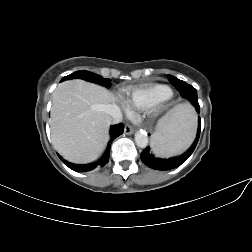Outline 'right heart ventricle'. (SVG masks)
Listing matches in <instances>:
<instances>
[{"label": "right heart ventricle", "instance_id": "obj_1", "mask_svg": "<svg viewBox=\"0 0 252 252\" xmlns=\"http://www.w3.org/2000/svg\"><path fill=\"white\" fill-rule=\"evenodd\" d=\"M125 104L135 110H148L172 95L171 89L163 84H145L124 90Z\"/></svg>", "mask_w": 252, "mask_h": 252}]
</instances>
